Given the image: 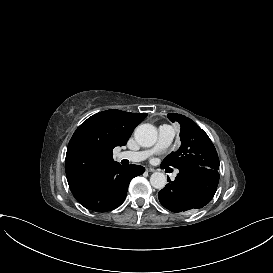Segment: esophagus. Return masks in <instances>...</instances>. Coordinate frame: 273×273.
I'll return each mask as SVG.
<instances>
[{"mask_svg": "<svg viewBox=\"0 0 273 273\" xmlns=\"http://www.w3.org/2000/svg\"><path fill=\"white\" fill-rule=\"evenodd\" d=\"M146 171L149 172V173H152V172H155V169H154V168L147 167V168H146Z\"/></svg>", "mask_w": 273, "mask_h": 273, "instance_id": "obj_1", "label": "esophagus"}]
</instances>
